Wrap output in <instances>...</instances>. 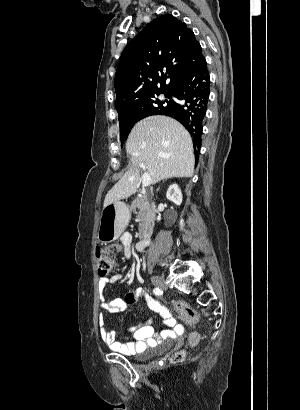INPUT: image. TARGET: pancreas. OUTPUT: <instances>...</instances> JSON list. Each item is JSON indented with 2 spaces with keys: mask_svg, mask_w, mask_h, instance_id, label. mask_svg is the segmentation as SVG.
Masks as SVG:
<instances>
[{
  "mask_svg": "<svg viewBox=\"0 0 300 410\" xmlns=\"http://www.w3.org/2000/svg\"><path fill=\"white\" fill-rule=\"evenodd\" d=\"M131 211L137 214L139 232L141 236L151 234L154 226L155 214L146 196L137 197L131 204Z\"/></svg>",
  "mask_w": 300,
  "mask_h": 410,
  "instance_id": "1",
  "label": "pancreas"
}]
</instances>
